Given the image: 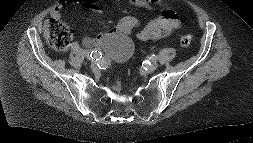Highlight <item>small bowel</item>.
<instances>
[{
    "label": "small bowel",
    "mask_w": 253,
    "mask_h": 143,
    "mask_svg": "<svg viewBox=\"0 0 253 143\" xmlns=\"http://www.w3.org/2000/svg\"><path fill=\"white\" fill-rule=\"evenodd\" d=\"M100 0H62L58 6L52 11V16L58 18L60 15L61 7L64 4H71L75 2H81L90 8ZM132 5L150 9L151 5L160 2V0H128ZM139 26V21L133 16L123 17L117 25L111 30L101 32L91 37H85L82 40V44L86 47L105 45L108 41L118 35H128L136 27ZM180 27V20L178 15L171 9H166L160 12L159 16L149 21L138 33L137 38L142 41L158 40L164 36L169 35L171 32L177 30ZM129 56V52L122 53L121 59H126Z\"/></svg>",
    "instance_id": "small-bowel-1"
}]
</instances>
